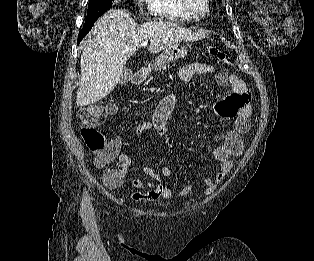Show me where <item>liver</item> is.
Instances as JSON below:
<instances>
[{"label":"liver","instance_id":"obj_1","mask_svg":"<svg viewBox=\"0 0 314 261\" xmlns=\"http://www.w3.org/2000/svg\"><path fill=\"white\" fill-rule=\"evenodd\" d=\"M200 34L166 21L139 25L122 9L106 12L95 23L93 38L83 42L81 81L76 103H95L119 83L126 61L143 41L150 40L149 52L156 54L181 41H196Z\"/></svg>","mask_w":314,"mask_h":261}]
</instances>
